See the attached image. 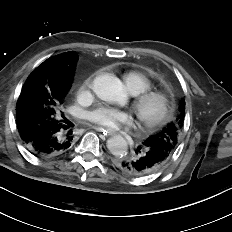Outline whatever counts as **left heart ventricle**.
<instances>
[{
  "instance_id": "b2bd125f",
  "label": "left heart ventricle",
  "mask_w": 232,
  "mask_h": 232,
  "mask_svg": "<svg viewBox=\"0 0 232 232\" xmlns=\"http://www.w3.org/2000/svg\"><path fill=\"white\" fill-rule=\"evenodd\" d=\"M159 108V103L157 101L151 102L146 108H145V114L147 116L153 115L157 112Z\"/></svg>"
}]
</instances>
